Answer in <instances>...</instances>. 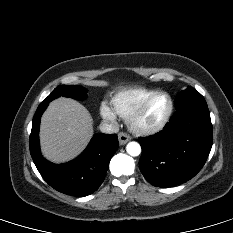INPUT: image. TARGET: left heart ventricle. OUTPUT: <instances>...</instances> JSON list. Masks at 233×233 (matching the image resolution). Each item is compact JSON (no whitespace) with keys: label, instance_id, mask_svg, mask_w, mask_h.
Listing matches in <instances>:
<instances>
[{"label":"left heart ventricle","instance_id":"obj_1","mask_svg":"<svg viewBox=\"0 0 233 233\" xmlns=\"http://www.w3.org/2000/svg\"><path fill=\"white\" fill-rule=\"evenodd\" d=\"M168 109L169 100L166 96L155 97L139 117L138 125L145 128L157 125L164 118Z\"/></svg>","mask_w":233,"mask_h":233}]
</instances>
